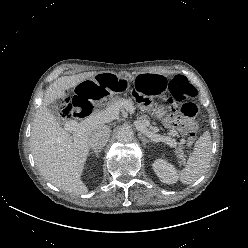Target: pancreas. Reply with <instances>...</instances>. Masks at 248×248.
I'll return each instance as SVG.
<instances>
[{"label":"pancreas","instance_id":"obj_1","mask_svg":"<svg viewBox=\"0 0 248 248\" xmlns=\"http://www.w3.org/2000/svg\"><path fill=\"white\" fill-rule=\"evenodd\" d=\"M126 103H129L133 108H134V103L131 98L125 99V98H115L113 99L110 103L109 106H117L119 109H126ZM139 121L144 124L145 126L147 125L148 122V117L147 116H141L139 117ZM170 135H174V133H170ZM170 140H172V144H170L171 147L176 148V154L183 160L184 158V151H183V146L180 143H177L175 139H172L170 136L168 137Z\"/></svg>","mask_w":248,"mask_h":248}]
</instances>
